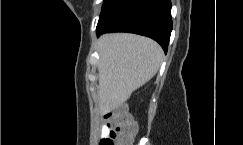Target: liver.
Returning a JSON list of instances; mask_svg holds the SVG:
<instances>
[{
  "label": "liver",
  "mask_w": 243,
  "mask_h": 145,
  "mask_svg": "<svg viewBox=\"0 0 243 145\" xmlns=\"http://www.w3.org/2000/svg\"><path fill=\"white\" fill-rule=\"evenodd\" d=\"M97 49L102 113L121 107L157 73L163 58V50L155 41L134 34L103 35Z\"/></svg>",
  "instance_id": "1"
}]
</instances>
